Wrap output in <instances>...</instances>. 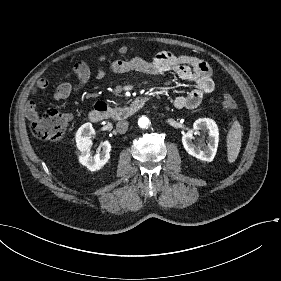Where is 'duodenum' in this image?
Instances as JSON below:
<instances>
[{
  "label": "duodenum",
  "mask_w": 281,
  "mask_h": 281,
  "mask_svg": "<svg viewBox=\"0 0 281 281\" xmlns=\"http://www.w3.org/2000/svg\"><path fill=\"white\" fill-rule=\"evenodd\" d=\"M142 103L143 98H137L128 107L114 109L105 103L97 102L89 113V120L93 123H100L108 119L123 121L137 111Z\"/></svg>",
  "instance_id": "obj_1"
}]
</instances>
